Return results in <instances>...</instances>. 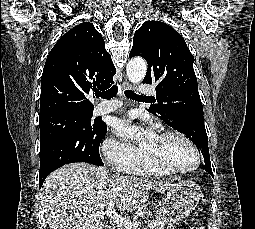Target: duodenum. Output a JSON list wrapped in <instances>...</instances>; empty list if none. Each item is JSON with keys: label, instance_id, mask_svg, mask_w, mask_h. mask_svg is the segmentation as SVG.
<instances>
[{"label": "duodenum", "instance_id": "obj_1", "mask_svg": "<svg viewBox=\"0 0 255 229\" xmlns=\"http://www.w3.org/2000/svg\"><path fill=\"white\" fill-rule=\"evenodd\" d=\"M111 229H117L116 227H113V228H111Z\"/></svg>", "mask_w": 255, "mask_h": 229}]
</instances>
